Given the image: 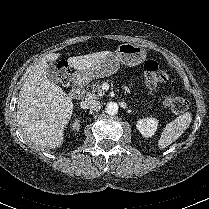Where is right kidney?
I'll list each match as a JSON object with an SVG mask.
<instances>
[{
    "label": "right kidney",
    "mask_w": 209,
    "mask_h": 209,
    "mask_svg": "<svg viewBox=\"0 0 209 209\" xmlns=\"http://www.w3.org/2000/svg\"><path fill=\"white\" fill-rule=\"evenodd\" d=\"M70 127L72 130H79L80 121L78 119H75V121H73V123L70 124Z\"/></svg>",
    "instance_id": "1"
}]
</instances>
